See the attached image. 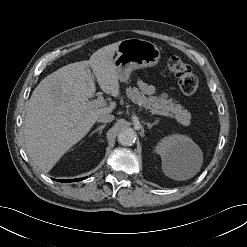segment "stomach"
<instances>
[{
    "label": "stomach",
    "instance_id": "stomach-1",
    "mask_svg": "<svg viewBox=\"0 0 247 247\" xmlns=\"http://www.w3.org/2000/svg\"><path fill=\"white\" fill-rule=\"evenodd\" d=\"M116 54L113 64L121 82H126L133 70L157 65L161 55L156 44L138 38L120 41Z\"/></svg>",
    "mask_w": 247,
    "mask_h": 247
}]
</instances>
